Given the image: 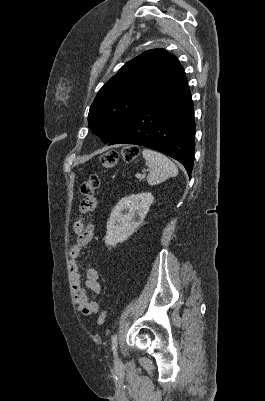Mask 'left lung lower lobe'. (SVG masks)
Wrapping results in <instances>:
<instances>
[{"label": "left lung lower lobe", "instance_id": "left-lung-lower-lobe-1", "mask_svg": "<svg viewBox=\"0 0 265 401\" xmlns=\"http://www.w3.org/2000/svg\"><path fill=\"white\" fill-rule=\"evenodd\" d=\"M195 131L193 102L183 72L108 143L155 149L181 162L191 176Z\"/></svg>", "mask_w": 265, "mask_h": 401}]
</instances>
